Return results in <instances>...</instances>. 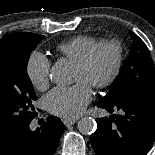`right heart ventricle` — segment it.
<instances>
[{
  "label": "right heart ventricle",
  "instance_id": "1",
  "mask_svg": "<svg viewBox=\"0 0 155 155\" xmlns=\"http://www.w3.org/2000/svg\"><path fill=\"white\" fill-rule=\"evenodd\" d=\"M101 40L87 35H80L60 43L57 51L73 63L80 61Z\"/></svg>",
  "mask_w": 155,
  "mask_h": 155
}]
</instances>
